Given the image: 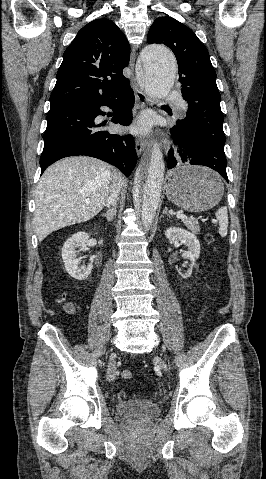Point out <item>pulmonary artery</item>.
<instances>
[{
  "instance_id": "obj_1",
  "label": "pulmonary artery",
  "mask_w": 266,
  "mask_h": 479,
  "mask_svg": "<svg viewBox=\"0 0 266 479\" xmlns=\"http://www.w3.org/2000/svg\"><path fill=\"white\" fill-rule=\"evenodd\" d=\"M178 97V92L175 91L174 89L170 90L166 95H165V99L168 100V101H171L173 99H176ZM180 112L181 114H184L185 113V109H186V105L185 103H181L180 104Z\"/></svg>"
}]
</instances>
